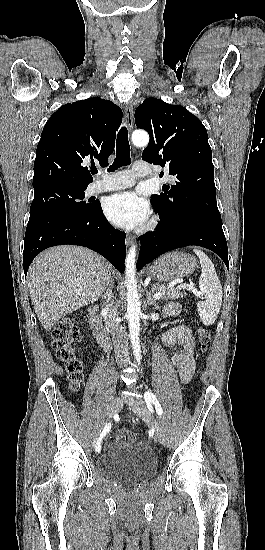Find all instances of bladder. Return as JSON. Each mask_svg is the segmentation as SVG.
<instances>
[{"instance_id": "obj_1", "label": "bladder", "mask_w": 265, "mask_h": 550, "mask_svg": "<svg viewBox=\"0 0 265 550\" xmlns=\"http://www.w3.org/2000/svg\"><path fill=\"white\" fill-rule=\"evenodd\" d=\"M97 466L101 473L120 482L141 483L155 474L157 460L144 442H114L104 448Z\"/></svg>"}]
</instances>
